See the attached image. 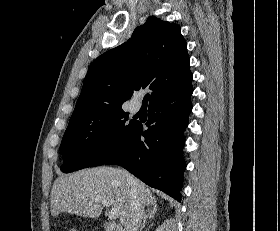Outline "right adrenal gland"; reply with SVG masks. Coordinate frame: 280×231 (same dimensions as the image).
<instances>
[{"instance_id":"right-adrenal-gland-1","label":"right adrenal gland","mask_w":280,"mask_h":231,"mask_svg":"<svg viewBox=\"0 0 280 231\" xmlns=\"http://www.w3.org/2000/svg\"><path fill=\"white\" fill-rule=\"evenodd\" d=\"M157 209H158L157 203H150V205H148L146 209V213L143 217V221L140 225V231H143L145 227V223H147L148 219H154Z\"/></svg>"}]
</instances>
